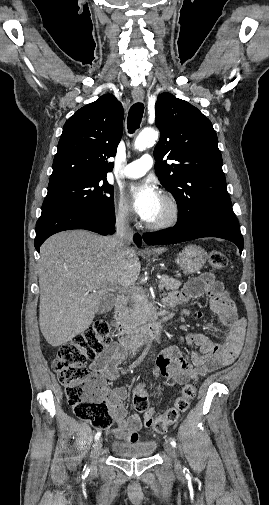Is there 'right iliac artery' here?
Returning <instances> with one entry per match:
<instances>
[{"label": "right iliac artery", "mask_w": 269, "mask_h": 505, "mask_svg": "<svg viewBox=\"0 0 269 505\" xmlns=\"http://www.w3.org/2000/svg\"><path fill=\"white\" fill-rule=\"evenodd\" d=\"M100 436H101V432H98V433L95 435L94 440H95V441H98V440H99V438H100ZM83 472H84V475H85V476H87V475L89 474V468H88V466H86V465H85V467H84V469H83Z\"/></svg>", "instance_id": "right-iliac-artery-1"}]
</instances>
